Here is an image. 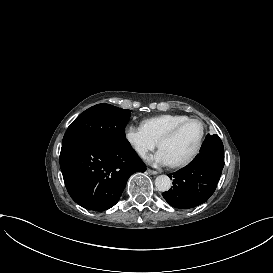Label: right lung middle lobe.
<instances>
[{"label": "right lung middle lobe", "instance_id": "1", "mask_svg": "<svg viewBox=\"0 0 273 273\" xmlns=\"http://www.w3.org/2000/svg\"><path fill=\"white\" fill-rule=\"evenodd\" d=\"M130 111L101 103L81 113L68 127L62 145L72 141H91L119 148H131L125 136Z\"/></svg>", "mask_w": 273, "mask_h": 273}]
</instances>
